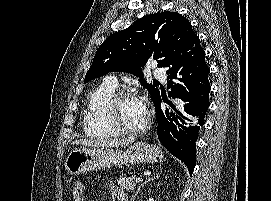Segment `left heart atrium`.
I'll use <instances>...</instances> for the list:
<instances>
[{
  "mask_svg": "<svg viewBox=\"0 0 271 201\" xmlns=\"http://www.w3.org/2000/svg\"><path fill=\"white\" fill-rule=\"evenodd\" d=\"M134 99H135L138 110L140 111L142 115L146 117L148 114V107H147L146 102L141 98H134Z\"/></svg>",
  "mask_w": 271,
  "mask_h": 201,
  "instance_id": "1",
  "label": "left heart atrium"
}]
</instances>
